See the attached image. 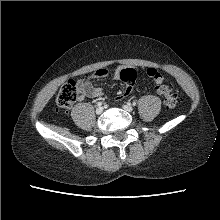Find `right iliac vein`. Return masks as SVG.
<instances>
[{"instance_id": "1", "label": "right iliac vein", "mask_w": 220, "mask_h": 220, "mask_svg": "<svg viewBox=\"0 0 220 220\" xmlns=\"http://www.w3.org/2000/svg\"><path fill=\"white\" fill-rule=\"evenodd\" d=\"M102 112H103V107H98V108L96 109V114H97V115L102 114Z\"/></svg>"}]
</instances>
